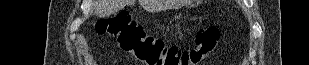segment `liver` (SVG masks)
<instances>
[{"instance_id":"6515ba94","label":"liver","mask_w":309,"mask_h":65,"mask_svg":"<svg viewBox=\"0 0 309 65\" xmlns=\"http://www.w3.org/2000/svg\"><path fill=\"white\" fill-rule=\"evenodd\" d=\"M141 6L149 11L157 10L162 7L155 0H140ZM126 4L127 0H94L95 14L99 17H107L111 14L121 10Z\"/></svg>"}]
</instances>
